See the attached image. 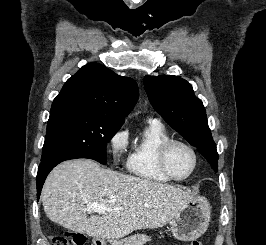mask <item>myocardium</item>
<instances>
[{"label": "myocardium", "mask_w": 266, "mask_h": 245, "mask_svg": "<svg viewBox=\"0 0 266 245\" xmlns=\"http://www.w3.org/2000/svg\"><path fill=\"white\" fill-rule=\"evenodd\" d=\"M175 145H182L186 147L192 153L193 158H194V165H193L191 172L183 178H177L170 170V167L168 164L169 153ZM158 162H159L161 171L166 177H168L172 181L182 182V181H186L190 179L195 174L198 168V165H199V156H198L196 149L188 142L183 141L181 139L170 138L161 145L159 152H158Z\"/></svg>", "instance_id": "myocardium-1"}]
</instances>
